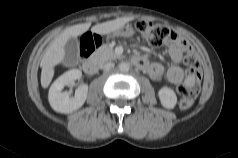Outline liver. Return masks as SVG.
I'll return each mask as SVG.
<instances>
[{"label":"liver","instance_id":"liver-1","mask_svg":"<svg viewBox=\"0 0 238 158\" xmlns=\"http://www.w3.org/2000/svg\"><path fill=\"white\" fill-rule=\"evenodd\" d=\"M130 20L131 18L129 17L117 18L112 21L97 24L92 27L91 31L100 35L108 34L122 28ZM90 26L91 23L88 22L68 27L52 41L40 63L42 68L41 85L43 88L49 86L54 76L55 66L64 59V46L68 39L84 34L89 30Z\"/></svg>","mask_w":238,"mask_h":158}]
</instances>
